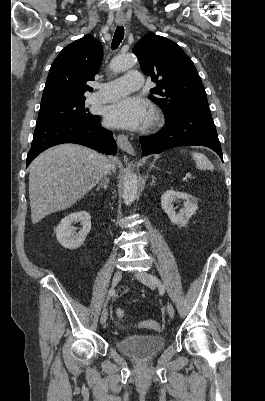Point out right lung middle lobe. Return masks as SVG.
Listing matches in <instances>:
<instances>
[{
	"label": "right lung middle lobe",
	"mask_w": 265,
	"mask_h": 401,
	"mask_svg": "<svg viewBox=\"0 0 265 401\" xmlns=\"http://www.w3.org/2000/svg\"><path fill=\"white\" fill-rule=\"evenodd\" d=\"M85 98H70L41 104L37 123L52 119L99 120L85 108Z\"/></svg>",
	"instance_id": "dd1d6c3e"
}]
</instances>
